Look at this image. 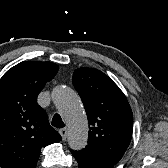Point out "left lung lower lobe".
<instances>
[{
  "label": "left lung lower lobe",
  "mask_w": 168,
  "mask_h": 168,
  "mask_svg": "<svg viewBox=\"0 0 168 168\" xmlns=\"http://www.w3.org/2000/svg\"><path fill=\"white\" fill-rule=\"evenodd\" d=\"M78 162V168H113V162L105 160L86 149L71 151Z\"/></svg>",
  "instance_id": "0a47b994"
}]
</instances>
